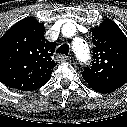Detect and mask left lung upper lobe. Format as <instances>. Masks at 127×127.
I'll use <instances>...</instances> for the list:
<instances>
[{"instance_id":"obj_1","label":"left lung upper lobe","mask_w":127,"mask_h":127,"mask_svg":"<svg viewBox=\"0 0 127 127\" xmlns=\"http://www.w3.org/2000/svg\"><path fill=\"white\" fill-rule=\"evenodd\" d=\"M93 61L84 67L83 78L119 88L127 83V38L110 19L92 30Z\"/></svg>"}]
</instances>
